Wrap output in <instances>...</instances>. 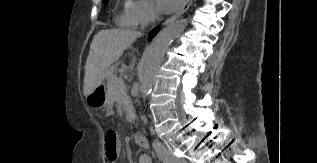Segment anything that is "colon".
<instances>
[{
  "label": "colon",
  "mask_w": 317,
  "mask_h": 163,
  "mask_svg": "<svg viewBox=\"0 0 317 163\" xmlns=\"http://www.w3.org/2000/svg\"><path fill=\"white\" fill-rule=\"evenodd\" d=\"M105 154L109 162L117 159L119 154L118 135L115 130L109 129L104 136Z\"/></svg>",
  "instance_id": "5ec220e1"
}]
</instances>
